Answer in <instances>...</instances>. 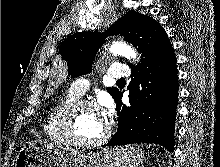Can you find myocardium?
Wrapping results in <instances>:
<instances>
[{"instance_id": "1", "label": "myocardium", "mask_w": 220, "mask_h": 167, "mask_svg": "<svg viewBox=\"0 0 220 167\" xmlns=\"http://www.w3.org/2000/svg\"><path fill=\"white\" fill-rule=\"evenodd\" d=\"M82 108L95 109V106L87 101L78 99L72 102L62 113L60 119V129L63 136L69 142V144L80 147V148H95L104 145L111 136V127L106 124V128L102 136L96 140L84 141L75 135L74 124L78 111Z\"/></svg>"}]
</instances>
